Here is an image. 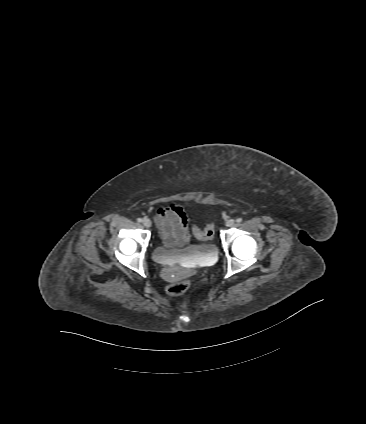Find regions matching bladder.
<instances>
[{"mask_svg":"<svg viewBox=\"0 0 366 424\" xmlns=\"http://www.w3.org/2000/svg\"><path fill=\"white\" fill-rule=\"evenodd\" d=\"M217 255V247L214 244H197L183 249H169L163 245H157L152 251L154 261L167 264L180 258H193L205 260Z\"/></svg>","mask_w":366,"mask_h":424,"instance_id":"1","label":"bladder"}]
</instances>
